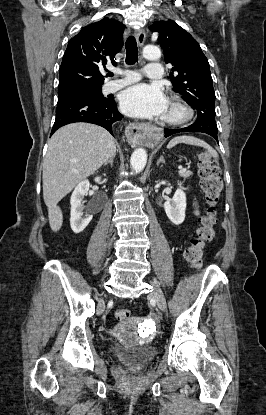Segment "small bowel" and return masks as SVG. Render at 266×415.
Masks as SVG:
<instances>
[{"label": "small bowel", "mask_w": 266, "mask_h": 415, "mask_svg": "<svg viewBox=\"0 0 266 415\" xmlns=\"http://www.w3.org/2000/svg\"><path fill=\"white\" fill-rule=\"evenodd\" d=\"M194 213H195L196 215H198V214H199V206H198V204H197V203H194Z\"/></svg>", "instance_id": "small-bowel-1"}]
</instances>
